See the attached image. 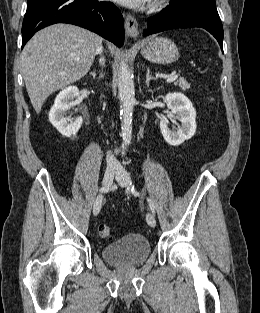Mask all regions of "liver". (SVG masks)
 I'll return each mask as SVG.
<instances>
[{"label": "liver", "mask_w": 260, "mask_h": 313, "mask_svg": "<svg viewBox=\"0 0 260 313\" xmlns=\"http://www.w3.org/2000/svg\"><path fill=\"white\" fill-rule=\"evenodd\" d=\"M101 43L96 33L69 24L46 27L28 41L21 55L22 72L37 113L53 92L88 73Z\"/></svg>", "instance_id": "6515ba94"}]
</instances>
